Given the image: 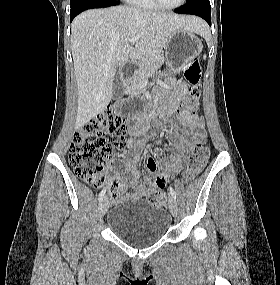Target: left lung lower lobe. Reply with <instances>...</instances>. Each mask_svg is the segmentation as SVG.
<instances>
[{
    "mask_svg": "<svg viewBox=\"0 0 280 285\" xmlns=\"http://www.w3.org/2000/svg\"><path fill=\"white\" fill-rule=\"evenodd\" d=\"M174 12L199 16L205 19L211 26V6L209 0H195L190 3H186L184 6L174 10Z\"/></svg>",
    "mask_w": 280,
    "mask_h": 285,
    "instance_id": "left-lung-lower-lobe-1",
    "label": "left lung lower lobe"
}]
</instances>
